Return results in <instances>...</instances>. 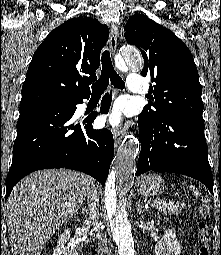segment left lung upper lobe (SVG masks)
<instances>
[{
    "mask_svg": "<svg viewBox=\"0 0 221 255\" xmlns=\"http://www.w3.org/2000/svg\"><path fill=\"white\" fill-rule=\"evenodd\" d=\"M125 39L135 45L144 58L142 76H150L153 102L141 115L160 121L170 114L202 119V88L188 47L169 29L146 15L135 14L125 25Z\"/></svg>",
    "mask_w": 221,
    "mask_h": 255,
    "instance_id": "obj_1",
    "label": "left lung upper lobe"
}]
</instances>
